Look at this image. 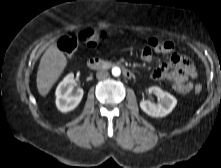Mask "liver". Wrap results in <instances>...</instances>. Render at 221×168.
Instances as JSON below:
<instances>
[{"label": "liver", "instance_id": "6515ba94", "mask_svg": "<svg viewBox=\"0 0 221 168\" xmlns=\"http://www.w3.org/2000/svg\"><path fill=\"white\" fill-rule=\"evenodd\" d=\"M66 66L64 53L56 45L49 46L41 57L37 71L36 83L41 96L45 97L49 93Z\"/></svg>", "mask_w": 221, "mask_h": 168}]
</instances>
